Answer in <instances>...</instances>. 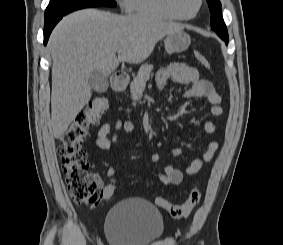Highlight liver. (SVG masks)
I'll use <instances>...</instances> for the list:
<instances>
[{"label":"liver","instance_id":"6515ba94","mask_svg":"<svg viewBox=\"0 0 283 245\" xmlns=\"http://www.w3.org/2000/svg\"><path fill=\"white\" fill-rule=\"evenodd\" d=\"M183 26L139 15L120 16L83 9L64 17L53 30L48 49L52 57L51 126L60 138L89 102V77L110 75L120 62L138 64L156 43ZM116 52H120L116 57Z\"/></svg>","mask_w":283,"mask_h":245}]
</instances>
